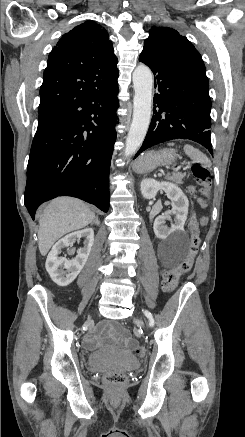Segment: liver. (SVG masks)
Returning <instances> with one entry per match:
<instances>
[{
  "label": "liver",
  "instance_id": "liver-1",
  "mask_svg": "<svg viewBox=\"0 0 245 437\" xmlns=\"http://www.w3.org/2000/svg\"><path fill=\"white\" fill-rule=\"evenodd\" d=\"M95 214L81 200L61 197L52 200L39 216V251L45 256L63 235L92 223Z\"/></svg>",
  "mask_w": 245,
  "mask_h": 437
}]
</instances>
